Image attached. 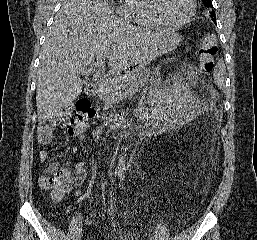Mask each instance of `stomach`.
I'll use <instances>...</instances> for the list:
<instances>
[{
    "mask_svg": "<svg viewBox=\"0 0 257 240\" xmlns=\"http://www.w3.org/2000/svg\"><path fill=\"white\" fill-rule=\"evenodd\" d=\"M181 40H182L181 35L177 33L175 30H172V29L165 30V33L161 37V39L154 46H152L143 55V57L139 59V61H137L134 64V68H135L134 71L143 69L156 58L161 57L162 55H165L167 53H170L171 51H173L179 46Z\"/></svg>",
    "mask_w": 257,
    "mask_h": 240,
    "instance_id": "0dacf381",
    "label": "stomach"
}]
</instances>
